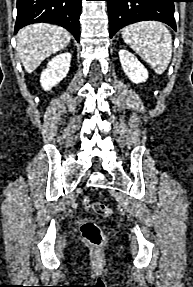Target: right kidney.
<instances>
[{
    "label": "right kidney",
    "instance_id": "1",
    "mask_svg": "<svg viewBox=\"0 0 193 287\" xmlns=\"http://www.w3.org/2000/svg\"><path fill=\"white\" fill-rule=\"evenodd\" d=\"M70 62V53H63L52 58L41 74L40 83L42 88L48 91L65 78L69 71Z\"/></svg>",
    "mask_w": 193,
    "mask_h": 287
}]
</instances>
